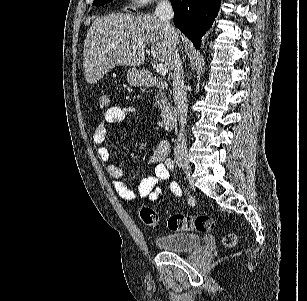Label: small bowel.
I'll return each mask as SVG.
<instances>
[{
    "instance_id": "c3829d8e",
    "label": "small bowel",
    "mask_w": 307,
    "mask_h": 301,
    "mask_svg": "<svg viewBox=\"0 0 307 301\" xmlns=\"http://www.w3.org/2000/svg\"><path fill=\"white\" fill-rule=\"evenodd\" d=\"M133 112H135V108L133 107H110L106 111L104 119L95 128L93 141L100 158L106 163L108 175L112 178L114 188L120 197L125 200H133L139 197L155 201L162 194L160 184L169 178V170L164 163L169 152L168 144L164 142L160 143L154 150L150 157V162L155 164L154 172L140 182L137 193L129 189L122 180L123 172L121 167L111 163L110 153L106 144L108 127L117 126ZM169 190L174 197L178 198L182 195V189L176 182L170 183Z\"/></svg>"
}]
</instances>
